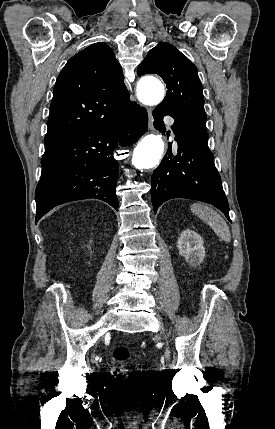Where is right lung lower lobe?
<instances>
[{
  "label": "right lung lower lobe",
  "mask_w": 275,
  "mask_h": 429,
  "mask_svg": "<svg viewBox=\"0 0 275 429\" xmlns=\"http://www.w3.org/2000/svg\"><path fill=\"white\" fill-rule=\"evenodd\" d=\"M145 108L132 103L110 124L76 132L45 145L35 200L36 222L53 207L79 199H101L118 210L115 149L136 142L147 130Z\"/></svg>",
  "instance_id": "1"
}]
</instances>
